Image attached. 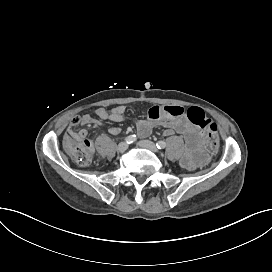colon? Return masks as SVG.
Instances as JSON below:
<instances>
[{"instance_id": "1", "label": "colon", "mask_w": 272, "mask_h": 272, "mask_svg": "<svg viewBox=\"0 0 272 272\" xmlns=\"http://www.w3.org/2000/svg\"><path fill=\"white\" fill-rule=\"evenodd\" d=\"M187 117L192 124L197 126L204 138L206 147L214 152L219 148L220 140L218 135L217 123L209 118V114L203 108L196 105L187 107ZM66 151L69 156L73 157L76 168L85 170L91 164V145L88 139H80L76 135L67 137L65 141Z\"/></svg>"}]
</instances>
